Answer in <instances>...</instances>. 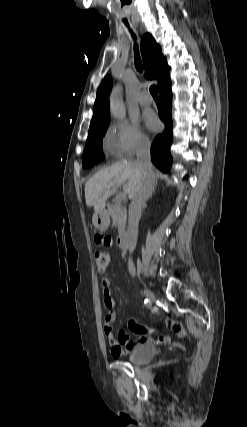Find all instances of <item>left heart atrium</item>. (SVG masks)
<instances>
[{
	"mask_svg": "<svg viewBox=\"0 0 247 427\" xmlns=\"http://www.w3.org/2000/svg\"><path fill=\"white\" fill-rule=\"evenodd\" d=\"M147 127L152 131H157L160 128V123L153 115H149L146 120Z\"/></svg>",
	"mask_w": 247,
	"mask_h": 427,
	"instance_id": "left-heart-atrium-1",
	"label": "left heart atrium"
}]
</instances>
